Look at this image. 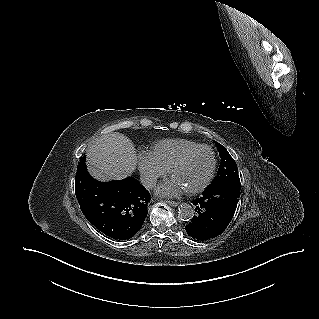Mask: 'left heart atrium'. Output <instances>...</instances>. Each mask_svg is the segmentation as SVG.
<instances>
[{"instance_id": "left-heart-atrium-1", "label": "left heart atrium", "mask_w": 319, "mask_h": 319, "mask_svg": "<svg viewBox=\"0 0 319 319\" xmlns=\"http://www.w3.org/2000/svg\"><path fill=\"white\" fill-rule=\"evenodd\" d=\"M183 191L184 188L174 179L166 182L157 189L158 194L162 196H177Z\"/></svg>"}]
</instances>
